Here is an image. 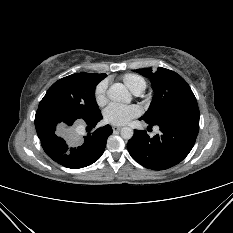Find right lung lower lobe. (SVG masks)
I'll use <instances>...</instances> for the list:
<instances>
[{"mask_svg": "<svg viewBox=\"0 0 233 233\" xmlns=\"http://www.w3.org/2000/svg\"><path fill=\"white\" fill-rule=\"evenodd\" d=\"M101 119L100 113L84 121L95 127ZM76 122L49 107L38 108L35 116L36 131L46 154L58 164L73 169L97 161L104 152L107 138L112 134L111 126L106 125L80 139L71 128Z\"/></svg>", "mask_w": 233, "mask_h": 233, "instance_id": "right-lung-lower-lobe-1", "label": "right lung lower lobe"}]
</instances>
